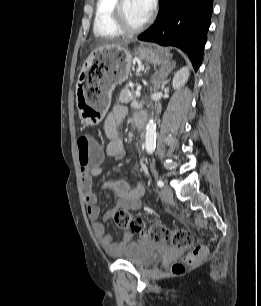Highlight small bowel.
I'll return each mask as SVG.
<instances>
[{
	"mask_svg": "<svg viewBox=\"0 0 261 306\" xmlns=\"http://www.w3.org/2000/svg\"><path fill=\"white\" fill-rule=\"evenodd\" d=\"M127 113L128 109L125 105L116 104L106 117L103 123V131L108 138V143L102 158L103 156H108L115 160H121L125 157V149L120 135V125L126 118ZM102 158L99 162L85 166L81 170L84 199L88 216L93 222L94 234L100 244L106 251L112 254H120L130 249L134 244L130 243L131 236L129 234L124 236L122 242H114L112 237L105 233L104 224L98 221L100 207L98 206L97 195L93 190V178L100 175L104 170ZM102 186L105 190L112 191L119 197L116 208L104 215V221L112 218L114 211L117 209L137 210L141 207L144 187L139 180L136 181L135 185L125 180H117L106 181Z\"/></svg>",
	"mask_w": 261,
	"mask_h": 306,
	"instance_id": "obj_1",
	"label": "small bowel"
}]
</instances>
